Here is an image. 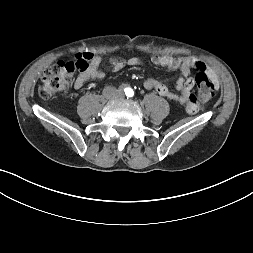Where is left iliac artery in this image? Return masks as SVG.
Listing matches in <instances>:
<instances>
[{
	"label": "left iliac artery",
	"mask_w": 253,
	"mask_h": 253,
	"mask_svg": "<svg viewBox=\"0 0 253 253\" xmlns=\"http://www.w3.org/2000/svg\"><path fill=\"white\" fill-rule=\"evenodd\" d=\"M125 93L128 97H132L134 95V91L131 88H126Z\"/></svg>",
	"instance_id": "44dca946"
}]
</instances>
